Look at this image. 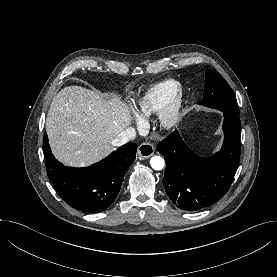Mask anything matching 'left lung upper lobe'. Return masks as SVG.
<instances>
[{
  "label": "left lung upper lobe",
  "mask_w": 277,
  "mask_h": 277,
  "mask_svg": "<svg viewBox=\"0 0 277 277\" xmlns=\"http://www.w3.org/2000/svg\"><path fill=\"white\" fill-rule=\"evenodd\" d=\"M201 103L210 108L239 114V107L232 89L224 78L213 70H206L204 98Z\"/></svg>",
  "instance_id": "1"
}]
</instances>
